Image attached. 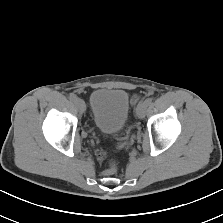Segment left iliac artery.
<instances>
[{
    "label": "left iliac artery",
    "instance_id": "obj_1",
    "mask_svg": "<svg viewBox=\"0 0 223 223\" xmlns=\"http://www.w3.org/2000/svg\"><path fill=\"white\" fill-rule=\"evenodd\" d=\"M144 102L148 106L152 103V98H147Z\"/></svg>",
    "mask_w": 223,
    "mask_h": 223
}]
</instances>
